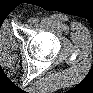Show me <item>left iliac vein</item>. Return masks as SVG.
I'll list each match as a JSON object with an SVG mask.
<instances>
[{
	"instance_id": "obj_1",
	"label": "left iliac vein",
	"mask_w": 93,
	"mask_h": 93,
	"mask_svg": "<svg viewBox=\"0 0 93 93\" xmlns=\"http://www.w3.org/2000/svg\"><path fill=\"white\" fill-rule=\"evenodd\" d=\"M34 23V19L30 18L28 19V24L32 25Z\"/></svg>"
}]
</instances>
